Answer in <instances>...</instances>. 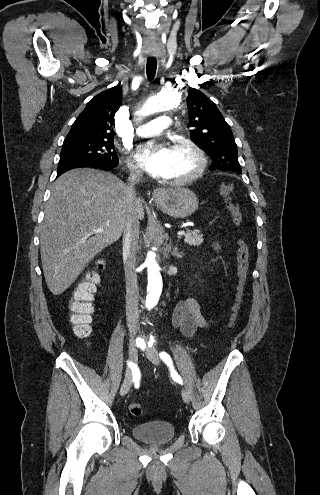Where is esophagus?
Listing matches in <instances>:
<instances>
[{"instance_id": "1", "label": "esophagus", "mask_w": 320, "mask_h": 495, "mask_svg": "<svg viewBox=\"0 0 320 495\" xmlns=\"http://www.w3.org/2000/svg\"><path fill=\"white\" fill-rule=\"evenodd\" d=\"M165 195H166V190L163 188H157L152 193V197L155 201L161 200Z\"/></svg>"}]
</instances>
